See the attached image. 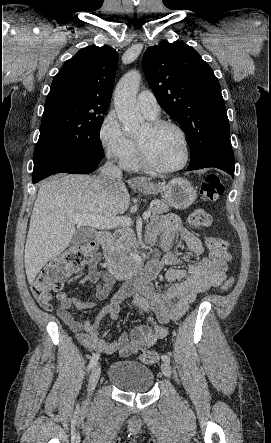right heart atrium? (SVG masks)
Here are the masks:
<instances>
[{
    "label": "right heart atrium",
    "instance_id": "right-heart-atrium-1",
    "mask_svg": "<svg viewBox=\"0 0 271 443\" xmlns=\"http://www.w3.org/2000/svg\"><path fill=\"white\" fill-rule=\"evenodd\" d=\"M98 140L105 154L124 164L131 156L133 143L123 131L114 111H109L98 126Z\"/></svg>",
    "mask_w": 271,
    "mask_h": 443
}]
</instances>
